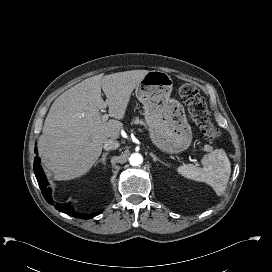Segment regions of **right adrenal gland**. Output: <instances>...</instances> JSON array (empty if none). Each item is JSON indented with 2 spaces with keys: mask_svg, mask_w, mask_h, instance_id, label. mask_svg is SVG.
Listing matches in <instances>:
<instances>
[{
  "mask_svg": "<svg viewBox=\"0 0 272 272\" xmlns=\"http://www.w3.org/2000/svg\"><path fill=\"white\" fill-rule=\"evenodd\" d=\"M109 154V152H105V153H103V155H102V157L95 163V166L98 164V163H100V162H102L104 165L106 164V160H107V155Z\"/></svg>",
  "mask_w": 272,
  "mask_h": 272,
  "instance_id": "right-adrenal-gland-1",
  "label": "right adrenal gland"
}]
</instances>
